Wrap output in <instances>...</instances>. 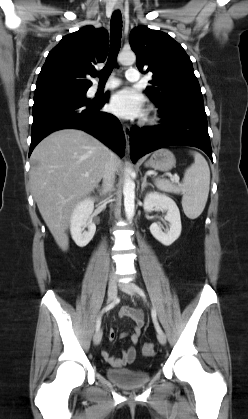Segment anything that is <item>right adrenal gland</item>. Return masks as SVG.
Instances as JSON below:
<instances>
[{
    "label": "right adrenal gland",
    "instance_id": "2a0ac1e0",
    "mask_svg": "<svg viewBox=\"0 0 248 419\" xmlns=\"http://www.w3.org/2000/svg\"><path fill=\"white\" fill-rule=\"evenodd\" d=\"M96 189L99 191L100 195H102V194H104V193H105V191H104L103 187H101V186H99V185H97V186H96Z\"/></svg>",
    "mask_w": 248,
    "mask_h": 419
}]
</instances>
